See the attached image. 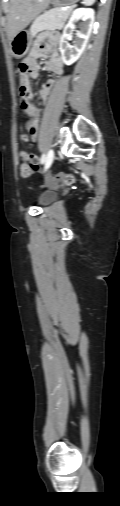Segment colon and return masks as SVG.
Masks as SVG:
<instances>
[{"label":"colon","instance_id":"5ec220e1","mask_svg":"<svg viewBox=\"0 0 120 506\" xmlns=\"http://www.w3.org/2000/svg\"><path fill=\"white\" fill-rule=\"evenodd\" d=\"M27 70H28L27 64L24 61H22L19 65V73L24 74L25 72H27ZM20 95L23 98L26 97L27 92L24 88H20ZM21 139L24 142H27L30 139V135H28L27 133H23L21 135ZM20 157L23 161L20 166V174L22 177L24 178L29 177L32 174L39 171L38 158L36 156L28 154L27 152H21ZM74 182L75 178L72 174L58 173L48 180V185L55 186L60 183L72 185Z\"/></svg>","mask_w":120,"mask_h":506}]
</instances>
